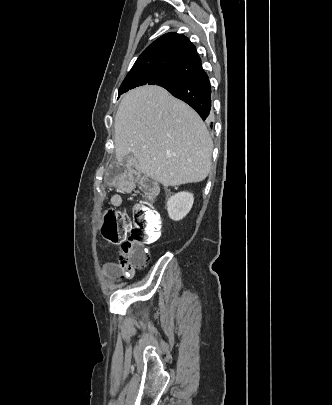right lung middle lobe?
Instances as JSON below:
<instances>
[{
  "label": "right lung middle lobe",
  "instance_id": "1",
  "mask_svg": "<svg viewBox=\"0 0 332 405\" xmlns=\"http://www.w3.org/2000/svg\"><path fill=\"white\" fill-rule=\"evenodd\" d=\"M184 79L175 74L165 73L157 70H145L130 72L124 79L119 89V96L127 92L129 89L146 84H155L162 87L175 84ZM118 96V98H119Z\"/></svg>",
  "mask_w": 332,
  "mask_h": 405
}]
</instances>
